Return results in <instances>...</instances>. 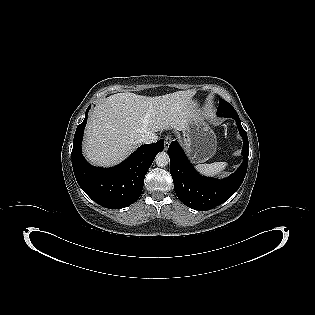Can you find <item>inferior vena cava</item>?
Here are the masks:
<instances>
[{
    "label": "inferior vena cava",
    "mask_w": 315,
    "mask_h": 315,
    "mask_svg": "<svg viewBox=\"0 0 315 315\" xmlns=\"http://www.w3.org/2000/svg\"><path fill=\"white\" fill-rule=\"evenodd\" d=\"M157 140H158V136L155 133H147V134L142 135V137L140 138V142L146 143V144L154 143Z\"/></svg>",
    "instance_id": "1"
}]
</instances>
